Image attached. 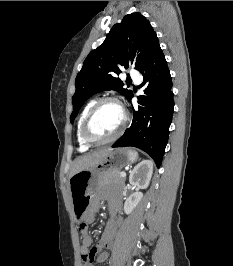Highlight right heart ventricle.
I'll use <instances>...</instances> for the list:
<instances>
[{"instance_id":"obj_1","label":"right heart ventricle","mask_w":233,"mask_h":266,"mask_svg":"<svg viewBox=\"0 0 233 266\" xmlns=\"http://www.w3.org/2000/svg\"><path fill=\"white\" fill-rule=\"evenodd\" d=\"M95 102H96V100H91L85 105V107L83 108V110L79 116L78 122H77L76 135H77V142H78L80 151H86L90 147V145L85 143L81 137V126H82L83 120H84L87 112L89 111V109L92 107V105Z\"/></svg>"}]
</instances>
